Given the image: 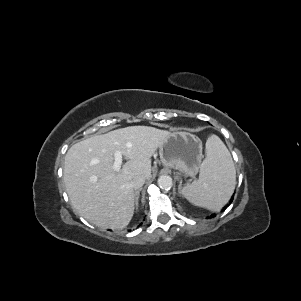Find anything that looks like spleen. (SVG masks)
Here are the masks:
<instances>
[{"label": "spleen", "mask_w": 301, "mask_h": 301, "mask_svg": "<svg viewBox=\"0 0 301 301\" xmlns=\"http://www.w3.org/2000/svg\"><path fill=\"white\" fill-rule=\"evenodd\" d=\"M235 185L236 170L230 152L218 136L212 135L206 142L199 179L184 186L182 194L193 205L218 212L230 200Z\"/></svg>", "instance_id": "1"}]
</instances>
